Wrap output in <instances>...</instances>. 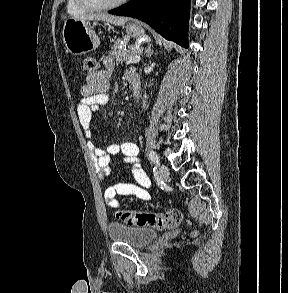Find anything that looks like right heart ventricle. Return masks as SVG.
I'll list each match as a JSON object with an SVG mask.
<instances>
[{
	"instance_id": "1",
	"label": "right heart ventricle",
	"mask_w": 288,
	"mask_h": 293,
	"mask_svg": "<svg viewBox=\"0 0 288 293\" xmlns=\"http://www.w3.org/2000/svg\"><path fill=\"white\" fill-rule=\"evenodd\" d=\"M67 12L73 16H80L86 14L89 10L79 5L77 0H67Z\"/></svg>"
}]
</instances>
